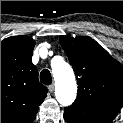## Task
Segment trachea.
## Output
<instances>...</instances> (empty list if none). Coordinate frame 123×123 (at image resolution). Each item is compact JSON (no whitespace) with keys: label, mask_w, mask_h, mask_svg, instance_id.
Wrapping results in <instances>:
<instances>
[{"label":"trachea","mask_w":123,"mask_h":123,"mask_svg":"<svg viewBox=\"0 0 123 123\" xmlns=\"http://www.w3.org/2000/svg\"><path fill=\"white\" fill-rule=\"evenodd\" d=\"M40 80L43 84L50 85L52 82V77H51L50 71L47 69L42 70L40 73Z\"/></svg>","instance_id":"obj_1"}]
</instances>
